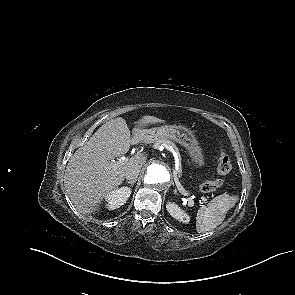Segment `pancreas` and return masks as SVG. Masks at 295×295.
<instances>
[{
    "mask_svg": "<svg viewBox=\"0 0 295 295\" xmlns=\"http://www.w3.org/2000/svg\"><path fill=\"white\" fill-rule=\"evenodd\" d=\"M161 144H166L168 146H172L176 151H178L175 144L173 142L169 141V140L159 141V142L156 143V146H159ZM181 172H182V170H181V167H180L179 170H178V175L179 176L181 175Z\"/></svg>",
    "mask_w": 295,
    "mask_h": 295,
    "instance_id": "pancreas-1",
    "label": "pancreas"
}]
</instances>
